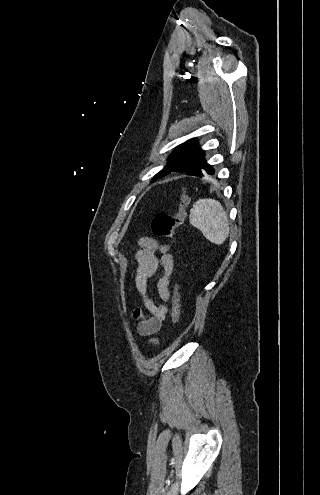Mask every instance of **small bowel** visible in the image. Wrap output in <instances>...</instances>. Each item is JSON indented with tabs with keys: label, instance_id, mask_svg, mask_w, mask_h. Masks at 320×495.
Segmentation results:
<instances>
[{
	"label": "small bowel",
	"instance_id": "c3829d8e",
	"mask_svg": "<svg viewBox=\"0 0 320 495\" xmlns=\"http://www.w3.org/2000/svg\"><path fill=\"white\" fill-rule=\"evenodd\" d=\"M156 252H160L159 257L156 256ZM135 258V284L142 296L145 310L136 308L132 311V316L137 321V333L147 337L160 330L169 311V283L174 269V258L168 245L151 236L142 237L137 241ZM153 281L157 282L160 303H155L149 297L148 292ZM151 342L155 344L157 339H152Z\"/></svg>",
	"mask_w": 320,
	"mask_h": 495
}]
</instances>
